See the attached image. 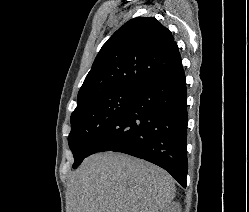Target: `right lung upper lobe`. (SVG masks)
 <instances>
[{
	"label": "right lung upper lobe",
	"instance_id": "cb5924a9",
	"mask_svg": "<svg viewBox=\"0 0 249 212\" xmlns=\"http://www.w3.org/2000/svg\"><path fill=\"white\" fill-rule=\"evenodd\" d=\"M182 64L171 32L152 17H137L103 45L77 96V104L116 91L139 92Z\"/></svg>",
	"mask_w": 249,
	"mask_h": 212
}]
</instances>
